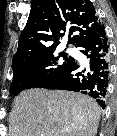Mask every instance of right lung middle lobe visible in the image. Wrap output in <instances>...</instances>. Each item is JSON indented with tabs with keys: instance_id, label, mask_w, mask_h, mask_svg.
I'll list each match as a JSON object with an SVG mask.
<instances>
[{
	"instance_id": "obj_1",
	"label": "right lung middle lobe",
	"mask_w": 117,
	"mask_h": 136,
	"mask_svg": "<svg viewBox=\"0 0 117 136\" xmlns=\"http://www.w3.org/2000/svg\"><path fill=\"white\" fill-rule=\"evenodd\" d=\"M60 56L63 59H59ZM71 60V57L68 58L67 54L62 52L58 57L50 55L13 69L10 95L16 96L23 90L38 87L60 72Z\"/></svg>"
}]
</instances>
